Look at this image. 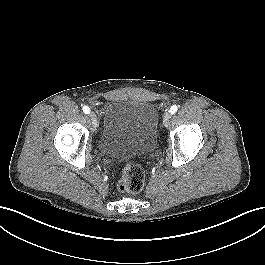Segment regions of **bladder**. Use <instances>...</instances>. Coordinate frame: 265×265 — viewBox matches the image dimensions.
I'll return each instance as SVG.
<instances>
[{
    "label": "bladder",
    "mask_w": 265,
    "mask_h": 265,
    "mask_svg": "<svg viewBox=\"0 0 265 265\" xmlns=\"http://www.w3.org/2000/svg\"><path fill=\"white\" fill-rule=\"evenodd\" d=\"M159 115L145 101L112 100L107 103L99 149L107 156L132 159L151 152L156 144Z\"/></svg>",
    "instance_id": "bladder-1"
}]
</instances>
